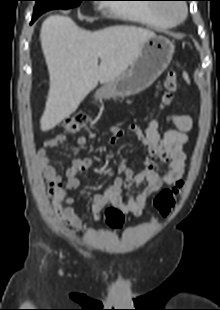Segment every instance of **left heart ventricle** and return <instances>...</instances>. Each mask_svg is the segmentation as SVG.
Returning a JSON list of instances; mask_svg holds the SVG:
<instances>
[{
    "label": "left heart ventricle",
    "instance_id": "obj_1",
    "mask_svg": "<svg viewBox=\"0 0 220 310\" xmlns=\"http://www.w3.org/2000/svg\"><path fill=\"white\" fill-rule=\"evenodd\" d=\"M167 13L171 14V15H174V14L177 13V8H175V7H168L167 8Z\"/></svg>",
    "mask_w": 220,
    "mask_h": 310
}]
</instances>
